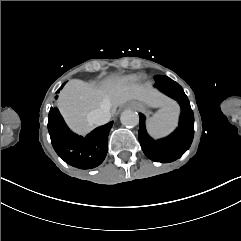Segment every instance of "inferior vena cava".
<instances>
[{
    "label": "inferior vena cava",
    "instance_id": "inferior-vena-cava-1",
    "mask_svg": "<svg viewBox=\"0 0 241 241\" xmlns=\"http://www.w3.org/2000/svg\"><path fill=\"white\" fill-rule=\"evenodd\" d=\"M111 118L110 106L104 105L98 109L92 110L87 114V120L91 125H103L109 122Z\"/></svg>",
    "mask_w": 241,
    "mask_h": 241
}]
</instances>
